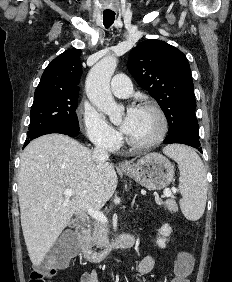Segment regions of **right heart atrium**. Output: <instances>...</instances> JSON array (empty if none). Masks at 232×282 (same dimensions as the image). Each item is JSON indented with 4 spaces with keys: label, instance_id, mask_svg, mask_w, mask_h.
Segmentation results:
<instances>
[{
    "label": "right heart atrium",
    "instance_id": "d8ad5b80",
    "mask_svg": "<svg viewBox=\"0 0 232 282\" xmlns=\"http://www.w3.org/2000/svg\"><path fill=\"white\" fill-rule=\"evenodd\" d=\"M79 117L87 137L94 144L107 150H114L118 146L119 133L93 106L83 103L79 108Z\"/></svg>",
    "mask_w": 232,
    "mask_h": 282
}]
</instances>
